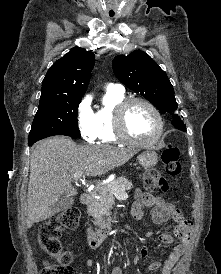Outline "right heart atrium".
<instances>
[{"instance_id":"d8ad5b80","label":"right heart atrium","mask_w":221,"mask_h":274,"mask_svg":"<svg viewBox=\"0 0 221 274\" xmlns=\"http://www.w3.org/2000/svg\"><path fill=\"white\" fill-rule=\"evenodd\" d=\"M77 123L85 141L92 143L97 139V123L89 96L83 97L77 106Z\"/></svg>"}]
</instances>
